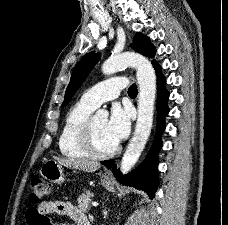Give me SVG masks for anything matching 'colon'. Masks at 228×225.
Returning <instances> with one entry per match:
<instances>
[{"label": "colon", "mask_w": 228, "mask_h": 225, "mask_svg": "<svg viewBox=\"0 0 228 225\" xmlns=\"http://www.w3.org/2000/svg\"><path fill=\"white\" fill-rule=\"evenodd\" d=\"M29 189V201L32 205H39L42 202L43 197L48 196L50 191V188L47 187V183L39 176L32 177Z\"/></svg>", "instance_id": "colon-1"}]
</instances>
